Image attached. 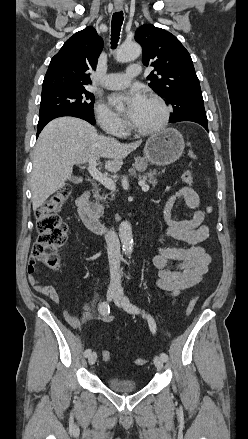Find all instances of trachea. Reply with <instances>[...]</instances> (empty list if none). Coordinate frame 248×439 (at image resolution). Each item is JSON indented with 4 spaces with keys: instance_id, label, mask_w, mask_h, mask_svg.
<instances>
[{
    "instance_id": "1",
    "label": "trachea",
    "mask_w": 248,
    "mask_h": 439,
    "mask_svg": "<svg viewBox=\"0 0 248 439\" xmlns=\"http://www.w3.org/2000/svg\"><path fill=\"white\" fill-rule=\"evenodd\" d=\"M123 23V12H116L112 16V22H111V47L112 49H115L119 35L121 26Z\"/></svg>"
}]
</instances>
